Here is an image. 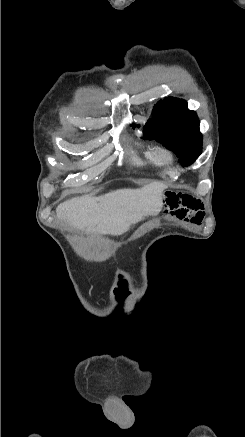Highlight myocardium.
<instances>
[{
  "label": "myocardium",
  "mask_w": 245,
  "mask_h": 437,
  "mask_svg": "<svg viewBox=\"0 0 245 437\" xmlns=\"http://www.w3.org/2000/svg\"><path fill=\"white\" fill-rule=\"evenodd\" d=\"M156 154L164 161L171 162L174 160V153L166 147H157Z\"/></svg>",
  "instance_id": "myocardium-1"
}]
</instances>
